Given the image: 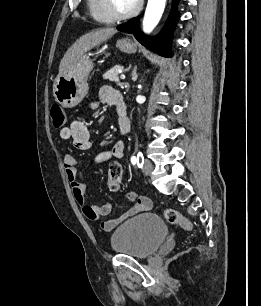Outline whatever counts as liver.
Masks as SVG:
<instances>
[{
  "mask_svg": "<svg viewBox=\"0 0 261 306\" xmlns=\"http://www.w3.org/2000/svg\"><path fill=\"white\" fill-rule=\"evenodd\" d=\"M116 33L117 30L114 28H102L81 36L64 54L59 65V75L65 73L84 53Z\"/></svg>",
  "mask_w": 261,
  "mask_h": 306,
  "instance_id": "liver-1",
  "label": "liver"
}]
</instances>
